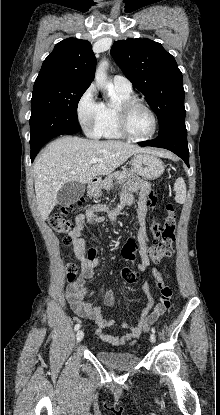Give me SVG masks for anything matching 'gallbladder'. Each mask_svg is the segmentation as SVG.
Instances as JSON below:
<instances>
[{"mask_svg": "<svg viewBox=\"0 0 220 415\" xmlns=\"http://www.w3.org/2000/svg\"><path fill=\"white\" fill-rule=\"evenodd\" d=\"M85 193V185L80 182H70L65 184L57 194L59 205H71L76 203Z\"/></svg>", "mask_w": 220, "mask_h": 415, "instance_id": "obj_1", "label": "gallbladder"}]
</instances>
